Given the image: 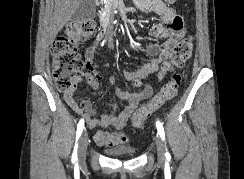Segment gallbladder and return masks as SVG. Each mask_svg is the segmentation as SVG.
<instances>
[{
    "instance_id": "1",
    "label": "gallbladder",
    "mask_w": 244,
    "mask_h": 179,
    "mask_svg": "<svg viewBox=\"0 0 244 179\" xmlns=\"http://www.w3.org/2000/svg\"><path fill=\"white\" fill-rule=\"evenodd\" d=\"M96 14L95 0H81L76 12L72 16V22H85V20H93Z\"/></svg>"
}]
</instances>
